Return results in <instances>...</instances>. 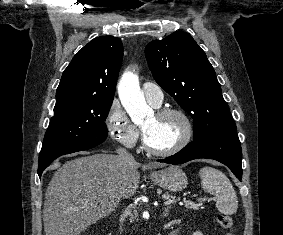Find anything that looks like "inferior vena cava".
<instances>
[{
  "label": "inferior vena cava",
  "mask_w": 283,
  "mask_h": 235,
  "mask_svg": "<svg viewBox=\"0 0 283 235\" xmlns=\"http://www.w3.org/2000/svg\"><path fill=\"white\" fill-rule=\"evenodd\" d=\"M116 153H117V158L120 161V163H126L128 161L134 160V157L132 156V154H130L124 148H118L116 150ZM117 202L118 203L120 202V198L117 199Z\"/></svg>",
  "instance_id": "1"
}]
</instances>
